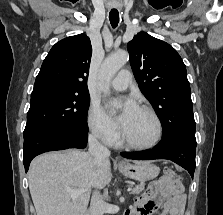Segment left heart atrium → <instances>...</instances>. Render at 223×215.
<instances>
[{
    "instance_id": "left-heart-atrium-1",
    "label": "left heart atrium",
    "mask_w": 223,
    "mask_h": 215,
    "mask_svg": "<svg viewBox=\"0 0 223 215\" xmlns=\"http://www.w3.org/2000/svg\"><path fill=\"white\" fill-rule=\"evenodd\" d=\"M136 110L137 105L135 101L132 98L126 99L124 109L118 117V123L121 126L124 125Z\"/></svg>"
}]
</instances>
